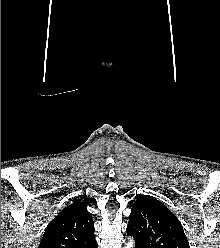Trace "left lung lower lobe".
Masks as SVG:
<instances>
[{
	"label": "left lung lower lobe",
	"instance_id": "obj_1",
	"mask_svg": "<svg viewBox=\"0 0 220 248\" xmlns=\"http://www.w3.org/2000/svg\"><path fill=\"white\" fill-rule=\"evenodd\" d=\"M135 248H144V247L136 242L135 243Z\"/></svg>",
	"mask_w": 220,
	"mask_h": 248
}]
</instances>
